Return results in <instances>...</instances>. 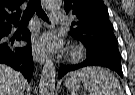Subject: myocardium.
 Segmentation results:
<instances>
[{"label":"myocardium","mask_w":135,"mask_h":95,"mask_svg":"<svg viewBox=\"0 0 135 95\" xmlns=\"http://www.w3.org/2000/svg\"><path fill=\"white\" fill-rule=\"evenodd\" d=\"M84 53H85V48L82 45H75L71 49V57L73 59L82 57Z\"/></svg>","instance_id":"f54148a6"}]
</instances>
